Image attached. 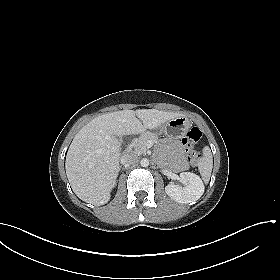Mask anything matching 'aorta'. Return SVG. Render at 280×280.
Segmentation results:
<instances>
[{"mask_svg":"<svg viewBox=\"0 0 280 280\" xmlns=\"http://www.w3.org/2000/svg\"><path fill=\"white\" fill-rule=\"evenodd\" d=\"M142 167H147L149 165V160L147 158H143L140 161Z\"/></svg>","mask_w":280,"mask_h":280,"instance_id":"762f6f07","label":"aorta"}]
</instances>
